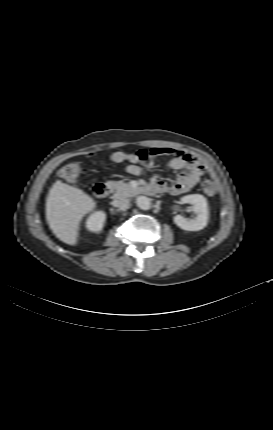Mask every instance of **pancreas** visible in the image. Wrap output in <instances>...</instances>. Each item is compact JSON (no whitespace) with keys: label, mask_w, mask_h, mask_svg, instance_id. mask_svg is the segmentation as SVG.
<instances>
[{"label":"pancreas","mask_w":273,"mask_h":430,"mask_svg":"<svg viewBox=\"0 0 273 430\" xmlns=\"http://www.w3.org/2000/svg\"><path fill=\"white\" fill-rule=\"evenodd\" d=\"M108 184L115 191V194H114L115 199L130 197L136 191L135 188H133L131 185H129L123 181H110V182H108Z\"/></svg>","instance_id":"cf45deb5"}]
</instances>
